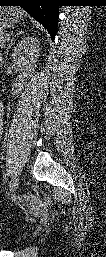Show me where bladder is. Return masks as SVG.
<instances>
[{
	"mask_svg": "<svg viewBox=\"0 0 106 257\" xmlns=\"http://www.w3.org/2000/svg\"><path fill=\"white\" fill-rule=\"evenodd\" d=\"M24 240V238H19L18 242H22Z\"/></svg>",
	"mask_w": 106,
	"mask_h": 257,
	"instance_id": "1",
	"label": "bladder"
}]
</instances>
